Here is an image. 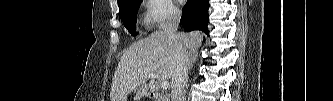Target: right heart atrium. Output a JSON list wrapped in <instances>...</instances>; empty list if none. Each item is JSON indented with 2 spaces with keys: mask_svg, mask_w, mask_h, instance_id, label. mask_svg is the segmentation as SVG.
<instances>
[{
  "mask_svg": "<svg viewBox=\"0 0 333 101\" xmlns=\"http://www.w3.org/2000/svg\"><path fill=\"white\" fill-rule=\"evenodd\" d=\"M178 13L171 0H147L145 23L149 27H162L175 20Z\"/></svg>",
  "mask_w": 333,
  "mask_h": 101,
  "instance_id": "1",
  "label": "right heart atrium"
}]
</instances>
